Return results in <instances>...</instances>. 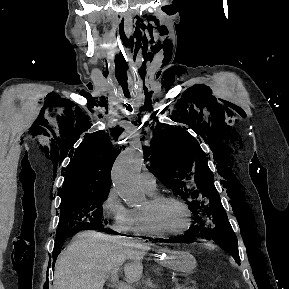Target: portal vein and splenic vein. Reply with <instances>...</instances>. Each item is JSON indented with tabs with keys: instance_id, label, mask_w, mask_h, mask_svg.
<instances>
[{
	"instance_id": "obj_1",
	"label": "portal vein and splenic vein",
	"mask_w": 289,
	"mask_h": 289,
	"mask_svg": "<svg viewBox=\"0 0 289 289\" xmlns=\"http://www.w3.org/2000/svg\"><path fill=\"white\" fill-rule=\"evenodd\" d=\"M118 270L119 268H116L111 272L112 281L114 283H117V289H133L131 286L118 281ZM174 289H179V288L175 287Z\"/></svg>"
}]
</instances>
